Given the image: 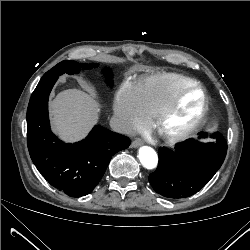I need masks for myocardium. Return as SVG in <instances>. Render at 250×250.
Listing matches in <instances>:
<instances>
[{"label":"myocardium","instance_id":"myocardium-1","mask_svg":"<svg viewBox=\"0 0 250 250\" xmlns=\"http://www.w3.org/2000/svg\"><path fill=\"white\" fill-rule=\"evenodd\" d=\"M198 91L202 96V106L197 118L185 129L173 132L164 133L163 125L168 118L175 112L181 99L190 91ZM209 96L207 91L198 83L189 84L178 90L171 98L169 103L156 115L153 121V131L155 135L167 144H175L192 137L204 124L209 113Z\"/></svg>","mask_w":250,"mask_h":250}]
</instances>
